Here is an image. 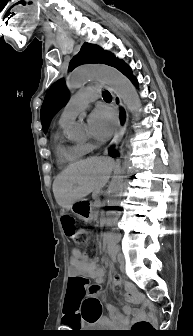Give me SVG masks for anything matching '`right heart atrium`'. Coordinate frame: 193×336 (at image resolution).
<instances>
[{
  "label": "right heart atrium",
  "instance_id": "right-heart-atrium-1",
  "mask_svg": "<svg viewBox=\"0 0 193 336\" xmlns=\"http://www.w3.org/2000/svg\"><path fill=\"white\" fill-rule=\"evenodd\" d=\"M84 146H85L86 151H89L93 148V145L90 143H85Z\"/></svg>",
  "mask_w": 193,
  "mask_h": 336
}]
</instances>
